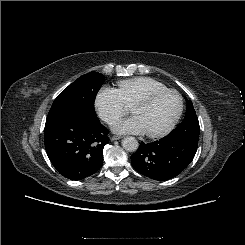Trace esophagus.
<instances>
[{"label":"esophagus","mask_w":245,"mask_h":245,"mask_svg":"<svg viewBox=\"0 0 245 245\" xmlns=\"http://www.w3.org/2000/svg\"><path fill=\"white\" fill-rule=\"evenodd\" d=\"M121 138H122L121 136L113 135V136L111 137V140H112V141H115V140H119V139H121Z\"/></svg>","instance_id":"obj_1"}]
</instances>
